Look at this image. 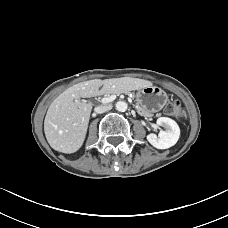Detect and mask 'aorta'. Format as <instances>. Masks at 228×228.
<instances>
[{
    "label": "aorta",
    "instance_id": "762f6f07",
    "mask_svg": "<svg viewBox=\"0 0 228 228\" xmlns=\"http://www.w3.org/2000/svg\"><path fill=\"white\" fill-rule=\"evenodd\" d=\"M127 107H128V105L124 101H118L116 103V109L120 112H125L127 110Z\"/></svg>",
    "mask_w": 228,
    "mask_h": 228
}]
</instances>
